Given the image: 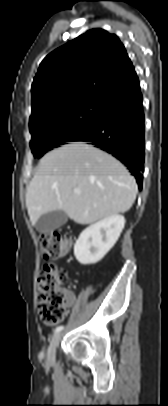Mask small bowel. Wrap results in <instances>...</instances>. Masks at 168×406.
I'll return each mask as SVG.
<instances>
[{
    "mask_svg": "<svg viewBox=\"0 0 168 406\" xmlns=\"http://www.w3.org/2000/svg\"><path fill=\"white\" fill-rule=\"evenodd\" d=\"M75 301V295L72 291L66 290L65 291V309L68 310L72 308Z\"/></svg>",
    "mask_w": 168,
    "mask_h": 406,
    "instance_id": "obj_1",
    "label": "small bowel"
}]
</instances>
